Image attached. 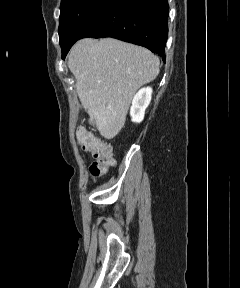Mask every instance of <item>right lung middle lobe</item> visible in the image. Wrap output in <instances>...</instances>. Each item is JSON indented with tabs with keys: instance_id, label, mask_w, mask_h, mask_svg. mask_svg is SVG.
I'll return each instance as SVG.
<instances>
[{
	"instance_id": "right-lung-middle-lobe-1",
	"label": "right lung middle lobe",
	"mask_w": 240,
	"mask_h": 288,
	"mask_svg": "<svg viewBox=\"0 0 240 288\" xmlns=\"http://www.w3.org/2000/svg\"><path fill=\"white\" fill-rule=\"evenodd\" d=\"M115 0H62L59 18V43L62 50L72 46L82 33Z\"/></svg>"
}]
</instances>
